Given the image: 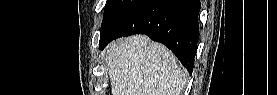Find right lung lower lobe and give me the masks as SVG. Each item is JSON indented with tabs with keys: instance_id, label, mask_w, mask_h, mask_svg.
<instances>
[{
	"instance_id": "1",
	"label": "right lung lower lobe",
	"mask_w": 277,
	"mask_h": 95,
	"mask_svg": "<svg viewBox=\"0 0 277 95\" xmlns=\"http://www.w3.org/2000/svg\"><path fill=\"white\" fill-rule=\"evenodd\" d=\"M199 0H145L99 45L103 50L112 40L146 34L163 43L192 73L199 38Z\"/></svg>"
}]
</instances>
